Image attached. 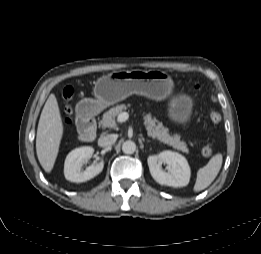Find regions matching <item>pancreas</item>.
Listing matches in <instances>:
<instances>
[{"instance_id":"obj_1","label":"pancreas","mask_w":261,"mask_h":254,"mask_svg":"<svg viewBox=\"0 0 261 254\" xmlns=\"http://www.w3.org/2000/svg\"><path fill=\"white\" fill-rule=\"evenodd\" d=\"M125 110H127V106L125 104H120L115 107H112L110 110L103 114V118L100 121V125L103 128H116V116H118ZM144 125L146 127L148 136L152 137L153 139H157L169 146H172L174 149H177L184 153H189L187 144L180 140V136H171L168 132V129L164 127L162 123L158 121L156 118H151L150 115H145Z\"/></svg>"}]
</instances>
